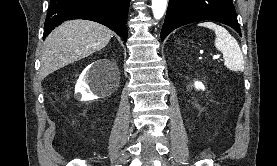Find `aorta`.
<instances>
[{
    "instance_id": "aorta-1",
    "label": "aorta",
    "mask_w": 277,
    "mask_h": 166,
    "mask_svg": "<svg viewBox=\"0 0 277 166\" xmlns=\"http://www.w3.org/2000/svg\"><path fill=\"white\" fill-rule=\"evenodd\" d=\"M167 7V0H152L154 18L159 20L163 17Z\"/></svg>"
}]
</instances>
